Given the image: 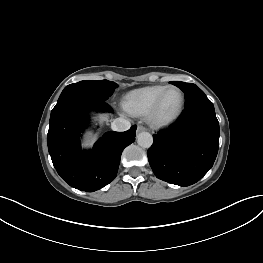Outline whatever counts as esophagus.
I'll use <instances>...</instances> for the list:
<instances>
[{
    "label": "esophagus",
    "instance_id": "esophagus-1",
    "mask_svg": "<svg viewBox=\"0 0 263 263\" xmlns=\"http://www.w3.org/2000/svg\"><path fill=\"white\" fill-rule=\"evenodd\" d=\"M145 130H146L145 127H143V126H138L136 132H137V133H140V132H143V131H145Z\"/></svg>",
    "mask_w": 263,
    "mask_h": 263
}]
</instances>
